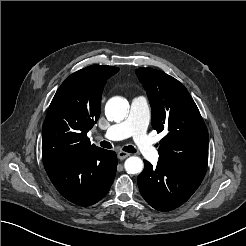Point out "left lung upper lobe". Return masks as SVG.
Listing matches in <instances>:
<instances>
[{
  "instance_id": "left-lung-upper-lobe-1",
  "label": "left lung upper lobe",
  "mask_w": 246,
  "mask_h": 246,
  "mask_svg": "<svg viewBox=\"0 0 246 246\" xmlns=\"http://www.w3.org/2000/svg\"><path fill=\"white\" fill-rule=\"evenodd\" d=\"M136 73L150 100L153 128L168 132L160 141L159 160L207 166L208 131L184 85L160 70L138 68Z\"/></svg>"
}]
</instances>
